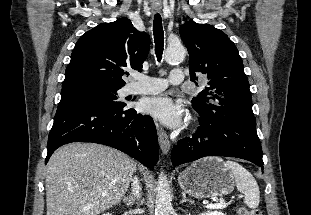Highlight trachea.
<instances>
[{"label": "trachea", "instance_id": "obj_1", "mask_svg": "<svg viewBox=\"0 0 311 215\" xmlns=\"http://www.w3.org/2000/svg\"><path fill=\"white\" fill-rule=\"evenodd\" d=\"M153 35L155 41V54L157 60L160 62L162 59L164 49V31L162 27V18L160 14H155L153 21Z\"/></svg>", "mask_w": 311, "mask_h": 215}]
</instances>
